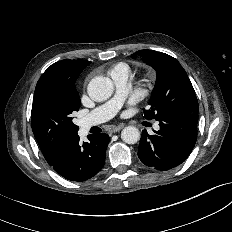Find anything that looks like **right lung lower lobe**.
<instances>
[{
    "label": "right lung lower lobe",
    "mask_w": 232,
    "mask_h": 232,
    "mask_svg": "<svg viewBox=\"0 0 232 232\" xmlns=\"http://www.w3.org/2000/svg\"><path fill=\"white\" fill-rule=\"evenodd\" d=\"M109 140L107 134L100 133L90 135L89 142L81 144L76 134L62 145L50 166L67 180L85 181L103 168Z\"/></svg>",
    "instance_id": "obj_1"
}]
</instances>
